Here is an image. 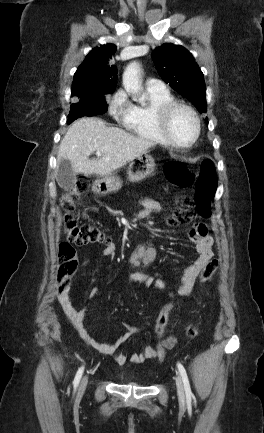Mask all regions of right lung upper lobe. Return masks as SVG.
<instances>
[{
    "instance_id": "obj_1",
    "label": "right lung upper lobe",
    "mask_w": 264,
    "mask_h": 433,
    "mask_svg": "<svg viewBox=\"0 0 264 433\" xmlns=\"http://www.w3.org/2000/svg\"><path fill=\"white\" fill-rule=\"evenodd\" d=\"M116 52L113 44L94 48L74 74L72 96L90 97L112 93L117 84V68L110 63Z\"/></svg>"
}]
</instances>
